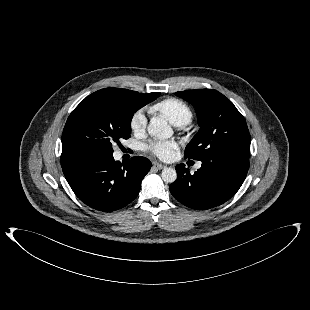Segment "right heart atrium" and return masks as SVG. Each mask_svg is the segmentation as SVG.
I'll use <instances>...</instances> for the list:
<instances>
[{
    "label": "right heart atrium",
    "instance_id": "obj_1",
    "mask_svg": "<svg viewBox=\"0 0 310 310\" xmlns=\"http://www.w3.org/2000/svg\"><path fill=\"white\" fill-rule=\"evenodd\" d=\"M146 116L142 110H138L134 113L131 119V130L135 134H142L146 128Z\"/></svg>",
    "mask_w": 310,
    "mask_h": 310
}]
</instances>
